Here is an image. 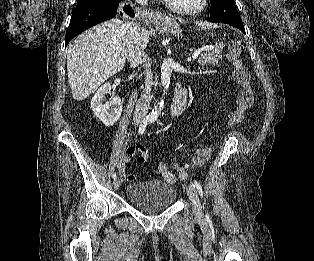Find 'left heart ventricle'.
<instances>
[{
    "label": "left heart ventricle",
    "mask_w": 314,
    "mask_h": 261,
    "mask_svg": "<svg viewBox=\"0 0 314 261\" xmlns=\"http://www.w3.org/2000/svg\"><path fill=\"white\" fill-rule=\"evenodd\" d=\"M198 1L199 0H170L173 4L185 8L194 7Z\"/></svg>",
    "instance_id": "b2bd125f"
}]
</instances>
